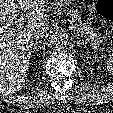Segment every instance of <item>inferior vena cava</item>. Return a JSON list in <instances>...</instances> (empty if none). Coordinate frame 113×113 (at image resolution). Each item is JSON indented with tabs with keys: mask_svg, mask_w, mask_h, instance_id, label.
I'll list each match as a JSON object with an SVG mask.
<instances>
[{
	"mask_svg": "<svg viewBox=\"0 0 113 113\" xmlns=\"http://www.w3.org/2000/svg\"><path fill=\"white\" fill-rule=\"evenodd\" d=\"M47 29H48V26H45V25L36 28L33 32L34 38L42 37L43 34L47 31Z\"/></svg>",
	"mask_w": 113,
	"mask_h": 113,
	"instance_id": "1",
	"label": "inferior vena cava"
}]
</instances>
